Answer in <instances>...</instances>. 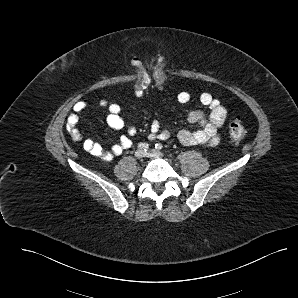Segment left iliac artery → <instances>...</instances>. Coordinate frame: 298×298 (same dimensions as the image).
<instances>
[{"label":"left iliac artery","instance_id":"obj_1","mask_svg":"<svg viewBox=\"0 0 298 298\" xmlns=\"http://www.w3.org/2000/svg\"><path fill=\"white\" fill-rule=\"evenodd\" d=\"M155 148H156L157 150H161V149L163 148V146H162L161 143H157V144H155Z\"/></svg>","mask_w":298,"mask_h":298}]
</instances>
